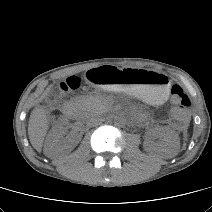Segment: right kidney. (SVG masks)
<instances>
[{
	"label": "right kidney",
	"mask_w": 212,
	"mask_h": 212,
	"mask_svg": "<svg viewBox=\"0 0 212 212\" xmlns=\"http://www.w3.org/2000/svg\"><path fill=\"white\" fill-rule=\"evenodd\" d=\"M64 133L61 124H56L53 127L44 145V153L47 157L55 158L69 153L81 140V135L77 133H72L69 137L63 138Z\"/></svg>",
	"instance_id": "ca27d5eb"
}]
</instances>
